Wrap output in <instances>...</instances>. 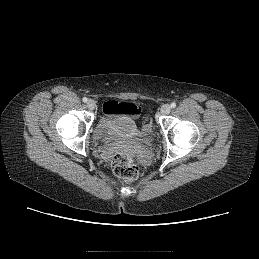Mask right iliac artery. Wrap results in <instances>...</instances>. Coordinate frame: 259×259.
I'll return each instance as SVG.
<instances>
[{
    "mask_svg": "<svg viewBox=\"0 0 259 259\" xmlns=\"http://www.w3.org/2000/svg\"><path fill=\"white\" fill-rule=\"evenodd\" d=\"M82 100H83V102H85V103L88 101V99H87L86 97H84Z\"/></svg>",
    "mask_w": 259,
    "mask_h": 259,
    "instance_id": "82829eb1",
    "label": "right iliac artery"
}]
</instances>
